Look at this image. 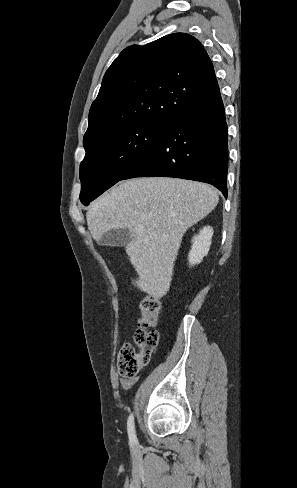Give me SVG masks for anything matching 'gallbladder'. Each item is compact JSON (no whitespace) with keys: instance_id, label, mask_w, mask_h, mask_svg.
<instances>
[{"instance_id":"1","label":"gallbladder","mask_w":297,"mask_h":488,"mask_svg":"<svg viewBox=\"0 0 297 488\" xmlns=\"http://www.w3.org/2000/svg\"><path fill=\"white\" fill-rule=\"evenodd\" d=\"M131 234L126 229H112L103 234L99 240L100 245L122 246L130 240Z\"/></svg>"}]
</instances>
